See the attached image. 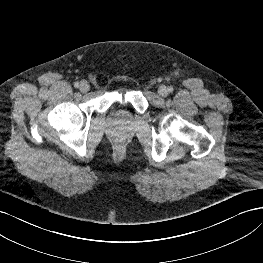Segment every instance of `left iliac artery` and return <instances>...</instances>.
Returning <instances> with one entry per match:
<instances>
[{
  "label": "left iliac artery",
  "mask_w": 263,
  "mask_h": 263,
  "mask_svg": "<svg viewBox=\"0 0 263 263\" xmlns=\"http://www.w3.org/2000/svg\"><path fill=\"white\" fill-rule=\"evenodd\" d=\"M168 91L171 93L173 92V87H168Z\"/></svg>",
  "instance_id": "1"
}]
</instances>
